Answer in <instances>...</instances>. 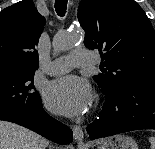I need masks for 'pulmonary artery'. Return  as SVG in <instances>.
Segmentation results:
<instances>
[{"label":"pulmonary artery","instance_id":"e3ab8cb5","mask_svg":"<svg viewBox=\"0 0 155 149\" xmlns=\"http://www.w3.org/2000/svg\"><path fill=\"white\" fill-rule=\"evenodd\" d=\"M93 62V55L87 49H76L69 56H62L55 59L48 67L50 75L67 73L72 67L89 66Z\"/></svg>","mask_w":155,"mask_h":149}]
</instances>
